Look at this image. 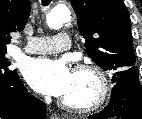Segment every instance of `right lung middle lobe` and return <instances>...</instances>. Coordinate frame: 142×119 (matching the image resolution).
Listing matches in <instances>:
<instances>
[{"instance_id": "1", "label": "right lung middle lobe", "mask_w": 142, "mask_h": 119, "mask_svg": "<svg viewBox=\"0 0 142 119\" xmlns=\"http://www.w3.org/2000/svg\"><path fill=\"white\" fill-rule=\"evenodd\" d=\"M7 50L0 51V82L6 83L11 80L13 77L17 76L16 70H10L8 66H10V62L5 57Z\"/></svg>"}]
</instances>
